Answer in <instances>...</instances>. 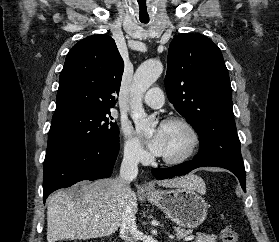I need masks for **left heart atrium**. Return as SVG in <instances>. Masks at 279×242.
<instances>
[{
  "instance_id": "obj_1",
  "label": "left heart atrium",
  "mask_w": 279,
  "mask_h": 242,
  "mask_svg": "<svg viewBox=\"0 0 279 242\" xmlns=\"http://www.w3.org/2000/svg\"><path fill=\"white\" fill-rule=\"evenodd\" d=\"M146 144L150 151L160 156L163 152V133L161 127H159L154 134L146 141Z\"/></svg>"
}]
</instances>
